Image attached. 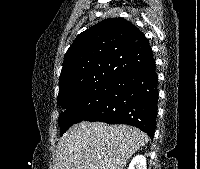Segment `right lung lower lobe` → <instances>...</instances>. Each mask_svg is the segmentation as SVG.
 <instances>
[{"mask_svg":"<svg viewBox=\"0 0 200 169\" xmlns=\"http://www.w3.org/2000/svg\"><path fill=\"white\" fill-rule=\"evenodd\" d=\"M157 81L155 63L120 77L104 102L84 121L128 124L153 138L157 117Z\"/></svg>","mask_w":200,"mask_h":169,"instance_id":"right-lung-lower-lobe-1","label":"right lung lower lobe"}]
</instances>
